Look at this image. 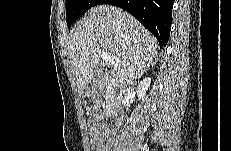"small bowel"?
Listing matches in <instances>:
<instances>
[{"label":"small bowel","instance_id":"obj_1","mask_svg":"<svg viewBox=\"0 0 231 151\" xmlns=\"http://www.w3.org/2000/svg\"><path fill=\"white\" fill-rule=\"evenodd\" d=\"M106 120L104 114L98 113L91 116L88 121L93 151H112L113 130L106 125Z\"/></svg>","mask_w":231,"mask_h":151}]
</instances>
